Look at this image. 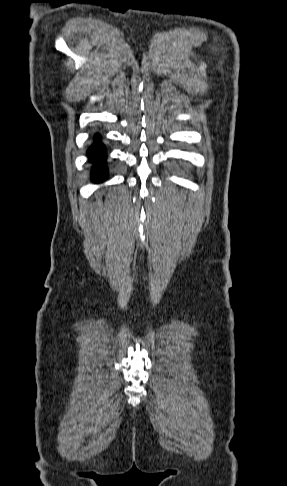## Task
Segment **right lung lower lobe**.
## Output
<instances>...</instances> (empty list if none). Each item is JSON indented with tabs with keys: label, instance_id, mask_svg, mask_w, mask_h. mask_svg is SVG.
Here are the masks:
<instances>
[{
	"label": "right lung lower lobe",
	"instance_id": "1",
	"mask_svg": "<svg viewBox=\"0 0 287 486\" xmlns=\"http://www.w3.org/2000/svg\"><path fill=\"white\" fill-rule=\"evenodd\" d=\"M89 158L95 163L93 167V180L103 181L106 178V168L102 165L106 158L105 147L100 141V136H95L94 144L88 150Z\"/></svg>",
	"mask_w": 287,
	"mask_h": 486
}]
</instances>
